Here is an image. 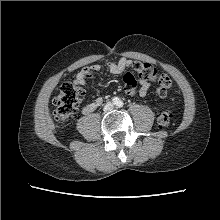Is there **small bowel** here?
<instances>
[{"instance_id":"obj_1","label":"small bowel","mask_w":220,"mask_h":220,"mask_svg":"<svg viewBox=\"0 0 220 220\" xmlns=\"http://www.w3.org/2000/svg\"><path fill=\"white\" fill-rule=\"evenodd\" d=\"M131 64V61L126 59V58H121L116 62H108L106 64V69L112 73V74H120L122 73L126 67H128ZM101 69L100 65H92L86 68H83L75 77L74 79V83L77 86H84L87 82V80L89 78H91L92 74L94 72H97ZM150 88V84L147 80L145 79H140L139 80V90H138V94L141 97H144L147 95L148 90ZM126 93L128 95H134L137 90L135 89H131V88H125ZM103 103V99L101 97L96 98L95 100H93L92 102L86 103L83 107H82V112L84 114H89L94 112L96 109H98Z\"/></svg>"}]
</instances>
